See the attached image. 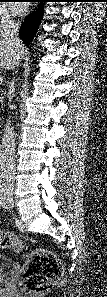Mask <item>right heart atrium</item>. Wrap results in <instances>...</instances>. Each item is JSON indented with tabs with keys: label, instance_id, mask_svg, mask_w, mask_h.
Wrapping results in <instances>:
<instances>
[{
	"label": "right heart atrium",
	"instance_id": "obj_1",
	"mask_svg": "<svg viewBox=\"0 0 107 297\" xmlns=\"http://www.w3.org/2000/svg\"><path fill=\"white\" fill-rule=\"evenodd\" d=\"M9 14L4 9L0 10V20L1 21H8L9 20Z\"/></svg>",
	"mask_w": 107,
	"mask_h": 297
}]
</instances>
